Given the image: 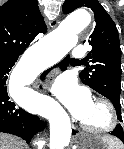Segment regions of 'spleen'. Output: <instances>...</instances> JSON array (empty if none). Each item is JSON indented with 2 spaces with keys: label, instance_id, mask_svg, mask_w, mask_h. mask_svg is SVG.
<instances>
[{
  "label": "spleen",
  "instance_id": "obj_1",
  "mask_svg": "<svg viewBox=\"0 0 124 149\" xmlns=\"http://www.w3.org/2000/svg\"><path fill=\"white\" fill-rule=\"evenodd\" d=\"M112 141H113V142H112V143H113V144H112L113 147H112L111 149H119V148H118V143H117L114 139H112Z\"/></svg>",
  "mask_w": 124,
  "mask_h": 149
}]
</instances>
